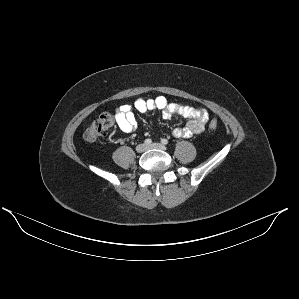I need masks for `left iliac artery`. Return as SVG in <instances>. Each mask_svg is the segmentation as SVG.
I'll use <instances>...</instances> for the list:
<instances>
[{"label": "left iliac artery", "mask_w": 299, "mask_h": 299, "mask_svg": "<svg viewBox=\"0 0 299 299\" xmlns=\"http://www.w3.org/2000/svg\"><path fill=\"white\" fill-rule=\"evenodd\" d=\"M161 143L164 144V145H167V144H168V140L165 139V138H163V139L161 140Z\"/></svg>", "instance_id": "obj_1"}]
</instances>
